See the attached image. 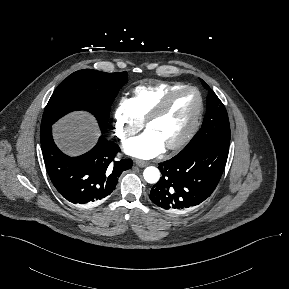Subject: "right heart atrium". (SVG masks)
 <instances>
[{"mask_svg": "<svg viewBox=\"0 0 289 289\" xmlns=\"http://www.w3.org/2000/svg\"><path fill=\"white\" fill-rule=\"evenodd\" d=\"M114 134L121 141L135 135L141 128L142 122L139 121L134 113L132 102L128 98H121L113 113Z\"/></svg>", "mask_w": 289, "mask_h": 289, "instance_id": "d8ad5b80", "label": "right heart atrium"}]
</instances>
